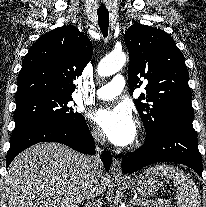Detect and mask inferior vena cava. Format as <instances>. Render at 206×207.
<instances>
[{"mask_svg": "<svg viewBox=\"0 0 206 207\" xmlns=\"http://www.w3.org/2000/svg\"><path fill=\"white\" fill-rule=\"evenodd\" d=\"M96 144L104 145L105 136L102 133H93ZM98 154L94 157H90L88 160V169H89V182L88 189L84 195L83 200L85 201V207H100L97 203L96 197L98 196L97 191L100 184V179L103 175V163L100 159L99 152L101 150L97 147ZM100 150V151H99Z\"/></svg>", "mask_w": 206, "mask_h": 207, "instance_id": "602c4592", "label": "inferior vena cava"}]
</instances>
